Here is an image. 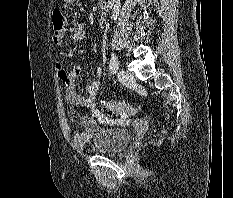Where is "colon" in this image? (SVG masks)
Masks as SVG:
<instances>
[{
    "instance_id": "5ec220e1",
    "label": "colon",
    "mask_w": 233,
    "mask_h": 198,
    "mask_svg": "<svg viewBox=\"0 0 233 198\" xmlns=\"http://www.w3.org/2000/svg\"><path fill=\"white\" fill-rule=\"evenodd\" d=\"M53 32H59L64 29L66 25V19L63 12L59 9H55L51 16ZM103 108L110 115L118 116L120 118H126L134 115L138 111V106L130 103H124L119 101H104Z\"/></svg>"
}]
</instances>
